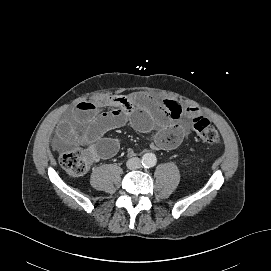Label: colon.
I'll list each match as a JSON object with an SVG mask.
<instances>
[{"mask_svg":"<svg viewBox=\"0 0 271 271\" xmlns=\"http://www.w3.org/2000/svg\"><path fill=\"white\" fill-rule=\"evenodd\" d=\"M192 127L198 138L205 144L215 146L220 143V135L211 122L202 115L192 117ZM93 161V154L88 149H74L61 156L60 163L71 177L84 175Z\"/></svg>","mask_w":271,"mask_h":271,"instance_id":"colon-1","label":"colon"}]
</instances>
